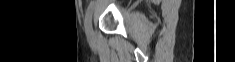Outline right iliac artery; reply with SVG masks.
<instances>
[{
  "label": "right iliac artery",
  "mask_w": 235,
  "mask_h": 62,
  "mask_svg": "<svg viewBox=\"0 0 235 62\" xmlns=\"http://www.w3.org/2000/svg\"><path fill=\"white\" fill-rule=\"evenodd\" d=\"M93 9H94V2H91V4L89 5V7L86 11V16H85L84 25H85L86 32L88 31V29L91 26Z\"/></svg>",
  "instance_id": "82829eb1"
}]
</instances>
